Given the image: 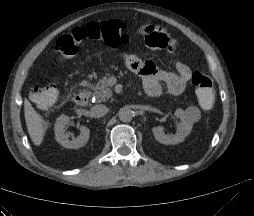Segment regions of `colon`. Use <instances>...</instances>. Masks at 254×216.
Listing matches in <instances>:
<instances>
[{
	"label": "colon",
	"mask_w": 254,
	"mask_h": 216,
	"mask_svg": "<svg viewBox=\"0 0 254 216\" xmlns=\"http://www.w3.org/2000/svg\"><path fill=\"white\" fill-rule=\"evenodd\" d=\"M88 41L105 43L116 48L129 41L126 25L119 21L89 23L61 36L55 50L61 58H70L78 53ZM191 83L195 89L199 104L204 110H210L215 103V94L211 78L204 72L196 70L191 74ZM33 101L42 108L51 107L58 98V90L54 85L36 88L31 95Z\"/></svg>",
	"instance_id": "1"
}]
</instances>
